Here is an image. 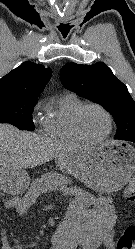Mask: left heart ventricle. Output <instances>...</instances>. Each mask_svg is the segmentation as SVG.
I'll use <instances>...</instances> for the list:
<instances>
[{
  "label": "left heart ventricle",
  "instance_id": "obj_1",
  "mask_svg": "<svg viewBox=\"0 0 135 249\" xmlns=\"http://www.w3.org/2000/svg\"><path fill=\"white\" fill-rule=\"evenodd\" d=\"M80 126L88 138L100 139L108 130V121L105 115L98 109L88 108L81 116Z\"/></svg>",
  "mask_w": 135,
  "mask_h": 249
}]
</instances>
